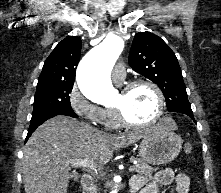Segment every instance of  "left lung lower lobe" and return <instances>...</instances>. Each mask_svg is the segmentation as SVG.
<instances>
[{
	"mask_svg": "<svg viewBox=\"0 0 221 193\" xmlns=\"http://www.w3.org/2000/svg\"><path fill=\"white\" fill-rule=\"evenodd\" d=\"M179 113H183L188 115L192 120H194V116H193V112L192 111H186V110H181V111H177ZM195 121V120H194Z\"/></svg>",
	"mask_w": 221,
	"mask_h": 193,
	"instance_id": "obj_1",
	"label": "left lung lower lobe"
}]
</instances>
